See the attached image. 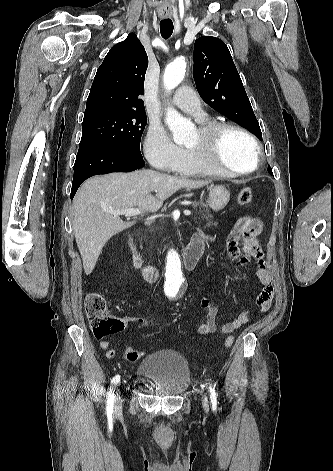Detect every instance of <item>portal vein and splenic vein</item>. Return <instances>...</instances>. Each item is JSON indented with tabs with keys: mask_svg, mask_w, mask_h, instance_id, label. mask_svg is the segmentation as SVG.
Segmentation results:
<instances>
[{
	"mask_svg": "<svg viewBox=\"0 0 333 471\" xmlns=\"http://www.w3.org/2000/svg\"><path fill=\"white\" fill-rule=\"evenodd\" d=\"M112 212H114L115 214H118V215H125L127 217H130V216H136V215H139V214L143 213V210H141L140 208H129V209H124V210H115V211H112ZM184 215L190 216L191 211L184 210Z\"/></svg>",
	"mask_w": 333,
	"mask_h": 471,
	"instance_id": "1",
	"label": "portal vein and splenic vein"
}]
</instances>
